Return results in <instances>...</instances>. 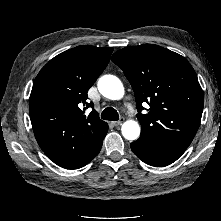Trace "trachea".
Returning <instances> with one entry per match:
<instances>
[{"instance_id": "3493384b", "label": "trachea", "mask_w": 221, "mask_h": 221, "mask_svg": "<svg viewBox=\"0 0 221 221\" xmlns=\"http://www.w3.org/2000/svg\"><path fill=\"white\" fill-rule=\"evenodd\" d=\"M101 118L104 120L117 121L119 119V114L114 108L108 107L101 113Z\"/></svg>"}]
</instances>
